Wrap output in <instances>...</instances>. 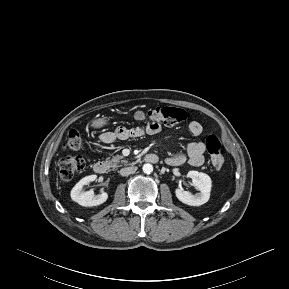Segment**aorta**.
Wrapping results in <instances>:
<instances>
[{
	"label": "aorta",
	"mask_w": 289,
	"mask_h": 289,
	"mask_svg": "<svg viewBox=\"0 0 289 289\" xmlns=\"http://www.w3.org/2000/svg\"><path fill=\"white\" fill-rule=\"evenodd\" d=\"M142 169H143V172L146 174H151L153 172V166L149 163L144 164Z\"/></svg>",
	"instance_id": "762f6f07"
}]
</instances>
